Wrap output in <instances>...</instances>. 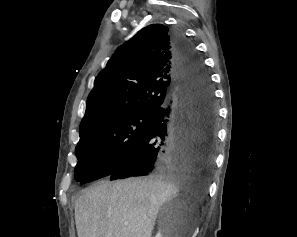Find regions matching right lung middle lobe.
Masks as SVG:
<instances>
[{"label": "right lung middle lobe", "mask_w": 297, "mask_h": 237, "mask_svg": "<svg viewBox=\"0 0 297 237\" xmlns=\"http://www.w3.org/2000/svg\"><path fill=\"white\" fill-rule=\"evenodd\" d=\"M154 112H137L98 121L80 133L75 178L81 183L100 179L149 130Z\"/></svg>", "instance_id": "1"}]
</instances>
